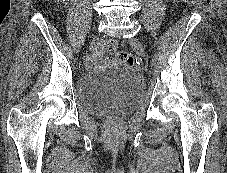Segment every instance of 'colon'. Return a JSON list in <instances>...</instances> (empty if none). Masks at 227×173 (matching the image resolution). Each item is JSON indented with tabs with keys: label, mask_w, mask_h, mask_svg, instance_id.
I'll use <instances>...</instances> for the list:
<instances>
[{
	"label": "colon",
	"mask_w": 227,
	"mask_h": 173,
	"mask_svg": "<svg viewBox=\"0 0 227 173\" xmlns=\"http://www.w3.org/2000/svg\"><path fill=\"white\" fill-rule=\"evenodd\" d=\"M192 4H200L204 2V0H187ZM106 49L108 52L115 54L116 57L127 67L135 68L137 66L135 57L128 52H119L117 50V44L114 41H110L106 44Z\"/></svg>",
	"instance_id": "obj_1"
}]
</instances>
